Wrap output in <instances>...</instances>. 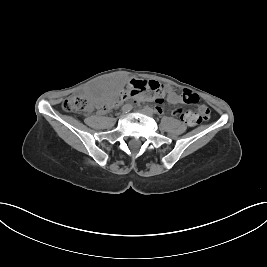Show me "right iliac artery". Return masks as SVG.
Returning a JSON list of instances; mask_svg holds the SVG:
<instances>
[{"instance_id": "82829eb1", "label": "right iliac artery", "mask_w": 267, "mask_h": 267, "mask_svg": "<svg viewBox=\"0 0 267 267\" xmlns=\"http://www.w3.org/2000/svg\"><path fill=\"white\" fill-rule=\"evenodd\" d=\"M131 109H132V105H130V104H126V105H124V106L122 107V111H123L124 113H127V112L131 111Z\"/></svg>"}]
</instances>
